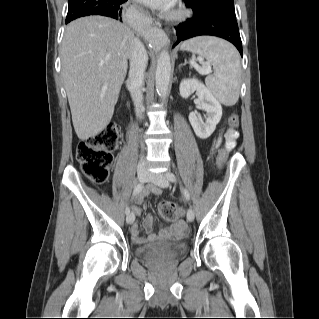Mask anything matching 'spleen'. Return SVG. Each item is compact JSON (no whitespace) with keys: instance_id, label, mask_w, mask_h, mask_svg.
I'll return each mask as SVG.
<instances>
[{"instance_id":"spleen-1","label":"spleen","mask_w":319,"mask_h":319,"mask_svg":"<svg viewBox=\"0 0 319 319\" xmlns=\"http://www.w3.org/2000/svg\"><path fill=\"white\" fill-rule=\"evenodd\" d=\"M181 49L198 54L213 66L214 74L205 79L208 90L223 105H235L241 79L240 56L235 47L222 39L202 36L183 42Z\"/></svg>"}]
</instances>
